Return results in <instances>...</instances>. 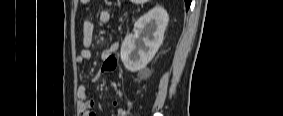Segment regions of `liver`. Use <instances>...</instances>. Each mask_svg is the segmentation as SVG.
<instances>
[{"label": "liver", "instance_id": "liver-1", "mask_svg": "<svg viewBox=\"0 0 283 116\" xmlns=\"http://www.w3.org/2000/svg\"><path fill=\"white\" fill-rule=\"evenodd\" d=\"M148 0H136V2H139V3H144V2H147Z\"/></svg>", "mask_w": 283, "mask_h": 116}]
</instances>
